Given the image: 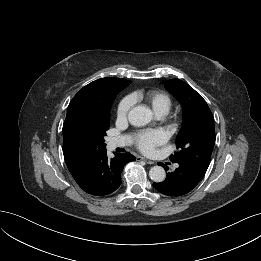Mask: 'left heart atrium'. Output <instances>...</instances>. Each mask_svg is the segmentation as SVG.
Returning a JSON list of instances; mask_svg holds the SVG:
<instances>
[{
	"instance_id": "obj_1",
	"label": "left heart atrium",
	"mask_w": 261,
	"mask_h": 261,
	"mask_svg": "<svg viewBox=\"0 0 261 261\" xmlns=\"http://www.w3.org/2000/svg\"><path fill=\"white\" fill-rule=\"evenodd\" d=\"M135 145L143 153L150 154L166 141V135L161 130H143L134 134Z\"/></svg>"
}]
</instances>
